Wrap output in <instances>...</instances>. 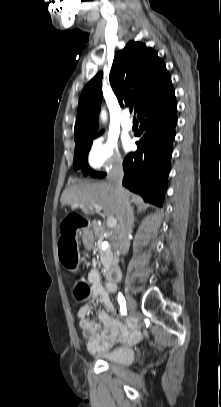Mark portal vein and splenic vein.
<instances>
[{"label":"portal vein and splenic vein","mask_w":221,"mask_h":407,"mask_svg":"<svg viewBox=\"0 0 221 407\" xmlns=\"http://www.w3.org/2000/svg\"><path fill=\"white\" fill-rule=\"evenodd\" d=\"M93 207L97 210V211H101L102 210V207L100 206V205H98V204H93ZM107 226L109 227V228H115L116 227V225H117V220H116V218L114 217V216H109V217H107Z\"/></svg>","instance_id":"18ae733b"}]
</instances>
